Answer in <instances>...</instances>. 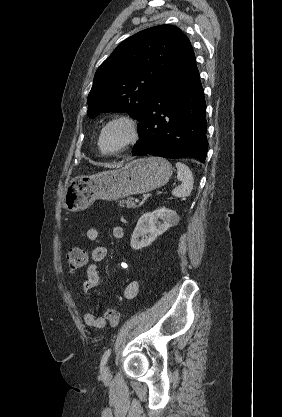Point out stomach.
Wrapping results in <instances>:
<instances>
[{"label":"stomach","mask_w":282,"mask_h":417,"mask_svg":"<svg viewBox=\"0 0 282 417\" xmlns=\"http://www.w3.org/2000/svg\"><path fill=\"white\" fill-rule=\"evenodd\" d=\"M171 174L172 166L166 158H136L121 168L73 178L65 190L63 206L66 211L77 213L88 209L96 198L118 200L130 194H143L164 186Z\"/></svg>","instance_id":"obj_1"}]
</instances>
